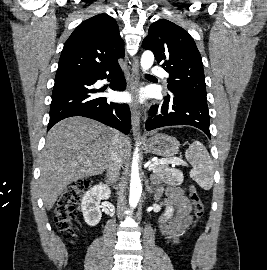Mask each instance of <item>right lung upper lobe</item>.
Instances as JSON below:
<instances>
[{"label": "right lung upper lobe", "instance_id": "cb5924a9", "mask_svg": "<svg viewBox=\"0 0 267 270\" xmlns=\"http://www.w3.org/2000/svg\"><path fill=\"white\" fill-rule=\"evenodd\" d=\"M125 56L117 22L107 14L83 21L66 41L56 77L110 68Z\"/></svg>", "mask_w": 267, "mask_h": 270}]
</instances>
